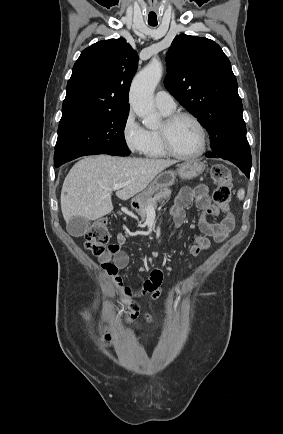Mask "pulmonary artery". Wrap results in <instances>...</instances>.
Listing matches in <instances>:
<instances>
[{
    "label": "pulmonary artery",
    "instance_id": "e3ab8cb5",
    "mask_svg": "<svg viewBox=\"0 0 283 434\" xmlns=\"http://www.w3.org/2000/svg\"><path fill=\"white\" fill-rule=\"evenodd\" d=\"M155 105L159 110L172 112L176 108L173 97L164 90L158 91L154 97Z\"/></svg>",
    "mask_w": 283,
    "mask_h": 434
}]
</instances>
